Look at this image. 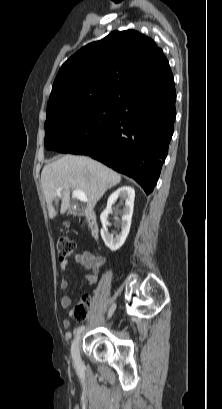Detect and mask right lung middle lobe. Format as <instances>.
<instances>
[{"label":"right lung middle lobe","mask_w":222,"mask_h":409,"mask_svg":"<svg viewBox=\"0 0 222 409\" xmlns=\"http://www.w3.org/2000/svg\"><path fill=\"white\" fill-rule=\"evenodd\" d=\"M118 105L116 102L73 104L47 113L45 147L81 155L99 149Z\"/></svg>","instance_id":"1"}]
</instances>
